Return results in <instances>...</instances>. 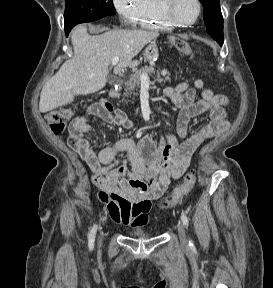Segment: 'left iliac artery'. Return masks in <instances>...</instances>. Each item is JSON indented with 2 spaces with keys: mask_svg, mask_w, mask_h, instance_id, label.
Returning a JSON list of instances; mask_svg holds the SVG:
<instances>
[{
  "mask_svg": "<svg viewBox=\"0 0 273 288\" xmlns=\"http://www.w3.org/2000/svg\"><path fill=\"white\" fill-rule=\"evenodd\" d=\"M181 220H182L183 224H184L186 227H188L189 219H188V217H187L185 214H182V215H181ZM189 246H190V247H194V244H193L192 240H189Z\"/></svg>",
  "mask_w": 273,
  "mask_h": 288,
  "instance_id": "left-iliac-artery-1",
  "label": "left iliac artery"
}]
</instances>
